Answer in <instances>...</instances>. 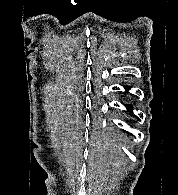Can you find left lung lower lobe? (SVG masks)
Masks as SVG:
<instances>
[{"mask_svg": "<svg viewBox=\"0 0 178 195\" xmlns=\"http://www.w3.org/2000/svg\"><path fill=\"white\" fill-rule=\"evenodd\" d=\"M127 108H128L129 110H131V107H130V106H127Z\"/></svg>", "mask_w": 178, "mask_h": 195, "instance_id": "obj_1", "label": "left lung lower lobe"}]
</instances>
